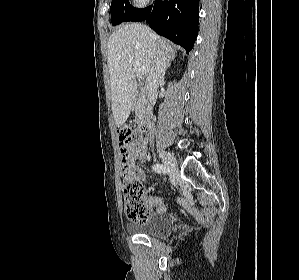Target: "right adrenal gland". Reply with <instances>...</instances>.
<instances>
[{
  "instance_id": "right-adrenal-gland-1",
  "label": "right adrenal gland",
  "mask_w": 299,
  "mask_h": 280,
  "mask_svg": "<svg viewBox=\"0 0 299 280\" xmlns=\"http://www.w3.org/2000/svg\"><path fill=\"white\" fill-rule=\"evenodd\" d=\"M175 59V53H170L169 56H168V60H167V66L166 68H168L171 64V61H173Z\"/></svg>"
}]
</instances>
